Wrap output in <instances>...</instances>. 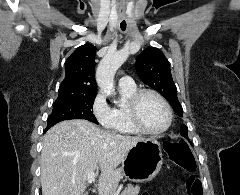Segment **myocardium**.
Segmentation results:
<instances>
[{
	"instance_id": "myocardium-1",
	"label": "myocardium",
	"mask_w": 240,
	"mask_h": 195,
	"mask_svg": "<svg viewBox=\"0 0 240 195\" xmlns=\"http://www.w3.org/2000/svg\"><path fill=\"white\" fill-rule=\"evenodd\" d=\"M146 95H152L155 98H157L164 109L165 122L163 126L160 127L159 129H149L142 122L141 114H140V106H141L142 99ZM128 110H129L130 118L133 125L140 133L147 134V135H159L165 132L166 130H168V128L171 125V121H172L171 108L168 102L166 101V99L159 92L155 90L141 89L137 91L129 102Z\"/></svg>"
}]
</instances>
